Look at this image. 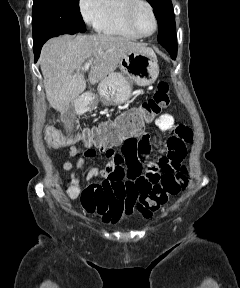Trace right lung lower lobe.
<instances>
[{
  "label": "right lung lower lobe",
  "mask_w": 240,
  "mask_h": 288,
  "mask_svg": "<svg viewBox=\"0 0 240 288\" xmlns=\"http://www.w3.org/2000/svg\"><path fill=\"white\" fill-rule=\"evenodd\" d=\"M77 32H73V31H60V32H56L53 34H50L49 36H47L42 42H40L39 44L33 46V50H34V55H35V61H37V59L40 56V52H41V48L43 46V44L51 37H55V36H59L62 34H75Z\"/></svg>",
  "instance_id": "98d812e1"
}]
</instances>
